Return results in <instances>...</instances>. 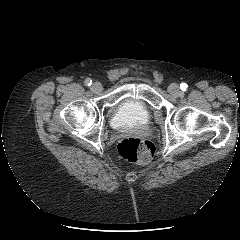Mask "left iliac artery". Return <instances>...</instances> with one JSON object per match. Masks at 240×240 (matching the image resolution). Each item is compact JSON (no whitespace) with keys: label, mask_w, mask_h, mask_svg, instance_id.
<instances>
[{"label":"left iliac artery","mask_w":240,"mask_h":240,"mask_svg":"<svg viewBox=\"0 0 240 240\" xmlns=\"http://www.w3.org/2000/svg\"><path fill=\"white\" fill-rule=\"evenodd\" d=\"M180 89H181L182 91H186V89H187V84L182 83V84L180 85Z\"/></svg>","instance_id":"left-iliac-artery-1"}]
</instances>
